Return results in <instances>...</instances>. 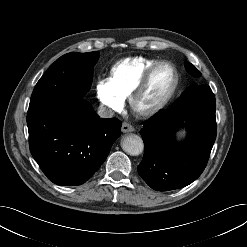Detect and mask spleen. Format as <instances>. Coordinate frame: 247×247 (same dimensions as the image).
Here are the masks:
<instances>
[{"mask_svg":"<svg viewBox=\"0 0 247 247\" xmlns=\"http://www.w3.org/2000/svg\"><path fill=\"white\" fill-rule=\"evenodd\" d=\"M184 135H185V131H180V132L178 133V136H179V137L184 136Z\"/></svg>","mask_w":247,"mask_h":247,"instance_id":"1","label":"spleen"}]
</instances>
